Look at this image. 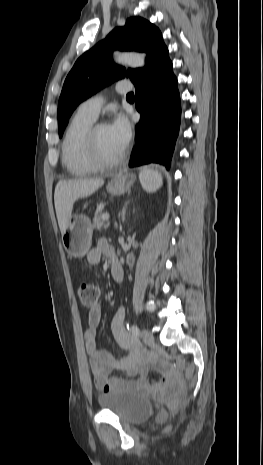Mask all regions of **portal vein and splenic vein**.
<instances>
[{
  "label": "portal vein and splenic vein",
  "instance_id": "18ae733b",
  "mask_svg": "<svg viewBox=\"0 0 263 465\" xmlns=\"http://www.w3.org/2000/svg\"><path fill=\"white\" fill-rule=\"evenodd\" d=\"M103 219H104V220H108V219H109V214H107V213L104 214V215H103Z\"/></svg>",
  "mask_w": 263,
  "mask_h": 465
}]
</instances>
